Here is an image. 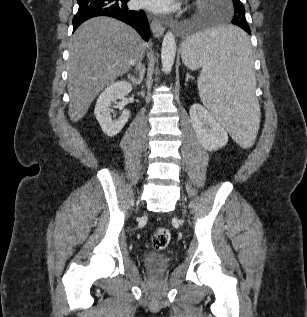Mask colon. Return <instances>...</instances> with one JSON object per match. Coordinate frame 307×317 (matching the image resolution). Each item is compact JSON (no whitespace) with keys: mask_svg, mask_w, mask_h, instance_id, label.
<instances>
[{"mask_svg":"<svg viewBox=\"0 0 307 317\" xmlns=\"http://www.w3.org/2000/svg\"><path fill=\"white\" fill-rule=\"evenodd\" d=\"M171 241V232L165 227H159L152 235L151 243L154 249L163 250Z\"/></svg>","mask_w":307,"mask_h":317,"instance_id":"obj_1","label":"colon"}]
</instances>
